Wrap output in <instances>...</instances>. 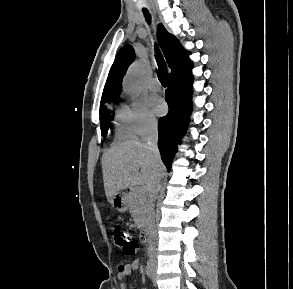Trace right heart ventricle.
<instances>
[{"label": "right heart ventricle", "mask_w": 293, "mask_h": 289, "mask_svg": "<svg viewBox=\"0 0 293 289\" xmlns=\"http://www.w3.org/2000/svg\"><path fill=\"white\" fill-rule=\"evenodd\" d=\"M115 137L118 140L136 137L130 115L125 107H120L115 113Z\"/></svg>", "instance_id": "e07e8e85"}]
</instances>
